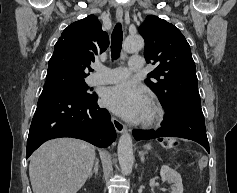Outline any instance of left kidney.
I'll use <instances>...</instances> for the list:
<instances>
[{
	"label": "left kidney",
	"instance_id": "left-kidney-1",
	"mask_svg": "<svg viewBox=\"0 0 237 193\" xmlns=\"http://www.w3.org/2000/svg\"><path fill=\"white\" fill-rule=\"evenodd\" d=\"M162 181L173 183L171 193H183V184L181 176L178 172L171 169L168 165H163L160 170Z\"/></svg>",
	"mask_w": 237,
	"mask_h": 193
}]
</instances>
